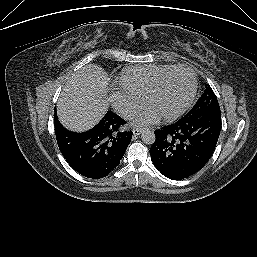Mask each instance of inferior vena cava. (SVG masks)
I'll return each instance as SVG.
<instances>
[{"instance_id": "obj_1", "label": "inferior vena cava", "mask_w": 257, "mask_h": 257, "mask_svg": "<svg viewBox=\"0 0 257 257\" xmlns=\"http://www.w3.org/2000/svg\"><path fill=\"white\" fill-rule=\"evenodd\" d=\"M136 114V110L135 109H132V108H125L122 112H121V115L126 118V119H129V118H133Z\"/></svg>"}]
</instances>
